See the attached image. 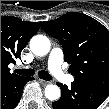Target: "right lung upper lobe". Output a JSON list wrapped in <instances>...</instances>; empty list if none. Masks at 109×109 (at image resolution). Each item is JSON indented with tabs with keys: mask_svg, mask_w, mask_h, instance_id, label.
<instances>
[{
	"mask_svg": "<svg viewBox=\"0 0 109 109\" xmlns=\"http://www.w3.org/2000/svg\"><path fill=\"white\" fill-rule=\"evenodd\" d=\"M38 30L39 24L36 22L22 21L13 16L1 17V83L18 77L9 72L8 65L15 63Z\"/></svg>",
	"mask_w": 109,
	"mask_h": 109,
	"instance_id": "1",
	"label": "right lung upper lobe"
}]
</instances>
